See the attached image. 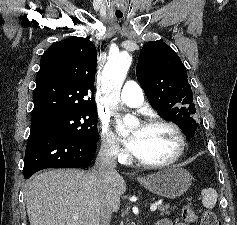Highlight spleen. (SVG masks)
<instances>
[{
	"instance_id": "spleen-1",
	"label": "spleen",
	"mask_w": 237,
	"mask_h": 225,
	"mask_svg": "<svg viewBox=\"0 0 237 225\" xmlns=\"http://www.w3.org/2000/svg\"><path fill=\"white\" fill-rule=\"evenodd\" d=\"M202 204L205 208L212 209L217 202V192L213 188H205L201 192Z\"/></svg>"
}]
</instances>
